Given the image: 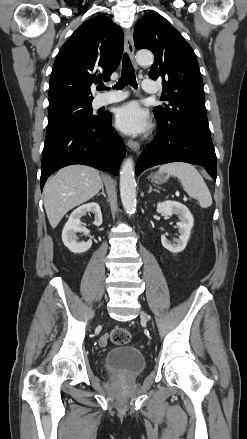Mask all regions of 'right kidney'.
<instances>
[{
  "label": "right kidney",
  "mask_w": 247,
  "mask_h": 439,
  "mask_svg": "<svg viewBox=\"0 0 247 439\" xmlns=\"http://www.w3.org/2000/svg\"><path fill=\"white\" fill-rule=\"evenodd\" d=\"M94 214V225L100 226L102 224V214L101 209L98 203L91 202L88 204H84L77 209H75L67 223L65 224L62 231V241L64 245L73 253H82L90 249L92 246V241L89 239L88 241H78L76 233H84L88 235L90 231L82 226L80 218L87 213Z\"/></svg>",
  "instance_id": "ca27d5eb"
}]
</instances>
